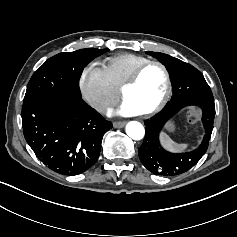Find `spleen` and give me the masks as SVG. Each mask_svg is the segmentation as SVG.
Returning <instances> with one entry per match:
<instances>
[{
    "instance_id": "spleen-1",
    "label": "spleen",
    "mask_w": 237,
    "mask_h": 237,
    "mask_svg": "<svg viewBox=\"0 0 237 237\" xmlns=\"http://www.w3.org/2000/svg\"><path fill=\"white\" fill-rule=\"evenodd\" d=\"M160 142L162 146L173 153H179L184 151L187 147L188 144H178L174 142L166 133L161 132L160 133Z\"/></svg>"
}]
</instances>
